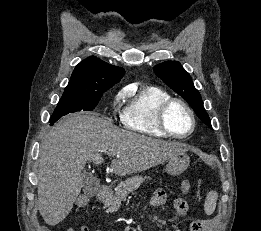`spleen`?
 <instances>
[{
	"mask_svg": "<svg viewBox=\"0 0 261 231\" xmlns=\"http://www.w3.org/2000/svg\"><path fill=\"white\" fill-rule=\"evenodd\" d=\"M217 197H218V195H217V192H215V191H210L207 194L205 204H204V210L207 214H212L213 211L215 210Z\"/></svg>",
	"mask_w": 261,
	"mask_h": 231,
	"instance_id": "obj_1",
	"label": "spleen"
}]
</instances>
